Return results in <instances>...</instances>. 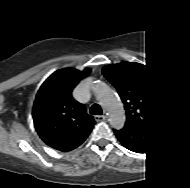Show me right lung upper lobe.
Masks as SVG:
<instances>
[{"label":"right lung upper lobe","mask_w":190,"mask_h":188,"mask_svg":"<svg viewBox=\"0 0 190 188\" xmlns=\"http://www.w3.org/2000/svg\"><path fill=\"white\" fill-rule=\"evenodd\" d=\"M90 73L64 68L54 72L40 87L33 105L34 126L50 147L67 152L82 144L95 121L84 105L74 100L72 91Z\"/></svg>","instance_id":"obj_1"}]
</instances>
